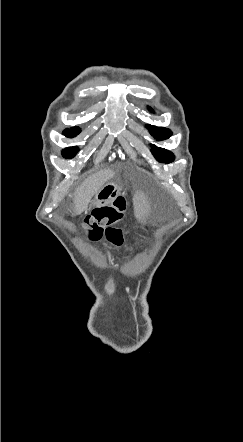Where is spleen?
<instances>
[{
    "instance_id": "obj_1",
    "label": "spleen",
    "mask_w": 243,
    "mask_h": 442,
    "mask_svg": "<svg viewBox=\"0 0 243 442\" xmlns=\"http://www.w3.org/2000/svg\"><path fill=\"white\" fill-rule=\"evenodd\" d=\"M131 202H141V207L143 209H148L150 207V202L147 200L146 193H131L130 194Z\"/></svg>"
}]
</instances>
